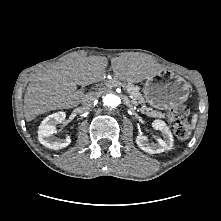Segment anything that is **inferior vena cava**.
<instances>
[{"mask_svg":"<svg viewBox=\"0 0 221 221\" xmlns=\"http://www.w3.org/2000/svg\"><path fill=\"white\" fill-rule=\"evenodd\" d=\"M95 96L92 94H88L82 101L83 109L85 111H90L94 105Z\"/></svg>","mask_w":221,"mask_h":221,"instance_id":"602c4592","label":"inferior vena cava"}]
</instances>
